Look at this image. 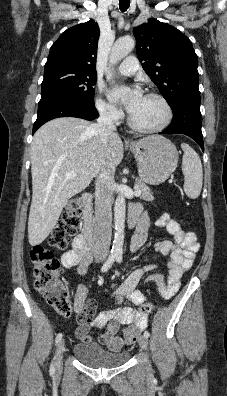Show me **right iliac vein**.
I'll list each match as a JSON object with an SVG mask.
<instances>
[{
    "instance_id": "63e3f726",
    "label": "right iliac vein",
    "mask_w": 227,
    "mask_h": 396,
    "mask_svg": "<svg viewBox=\"0 0 227 396\" xmlns=\"http://www.w3.org/2000/svg\"><path fill=\"white\" fill-rule=\"evenodd\" d=\"M64 351H65V341L60 340L57 345L56 354H55V366L58 369L62 366V359H63Z\"/></svg>"
}]
</instances>
